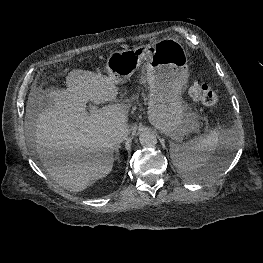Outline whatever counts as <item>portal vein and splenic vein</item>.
<instances>
[{"label": "portal vein and splenic vein", "mask_w": 263, "mask_h": 263, "mask_svg": "<svg viewBox=\"0 0 263 263\" xmlns=\"http://www.w3.org/2000/svg\"><path fill=\"white\" fill-rule=\"evenodd\" d=\"M96 110V107L93 105H90V113H94Z\"/></svg>", "instance_id": "18ae733b"}]
</instances>
